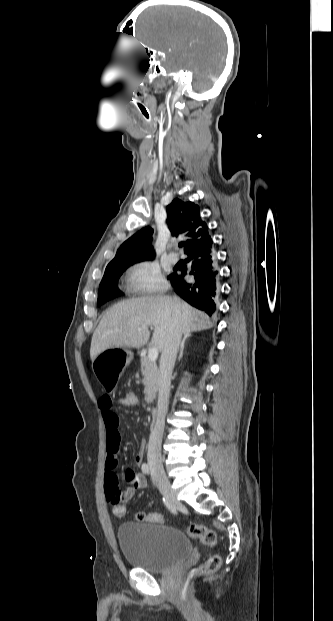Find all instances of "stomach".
Returning a JSON list of instances; mask_svg holds the SVG:
<instances>
[{"instance_id": "1", "label": "stomach", "mask_w": 333, "mask_h": 621, "mask_svg": "<svg viewBox=\"0 0 333 621\" xmlns=\"http://www.w3.org/2000/svg\"><path fill=\"white\" fill-rule=\"evenodd\" d=\"M101 350L93 361V370L102 383V388L107 393H112L117 388L116 380L122 370L133 359V353L125 348H106Z\"/></svg>"}]
</instances>
